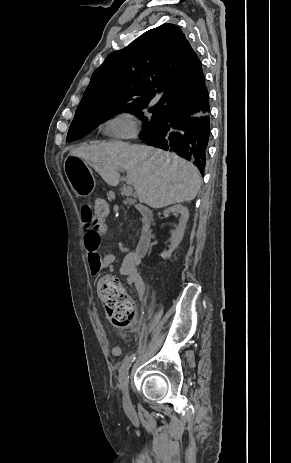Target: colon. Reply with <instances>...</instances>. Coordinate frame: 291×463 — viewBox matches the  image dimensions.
Masks as SVG:
<instances>
[{
	"label": "colon",
	"instance_id": "colon-1",
	"mask_svg": "<svg viewBox=\"0 0 291 463\" xmlns=\"http://www.w3.org/2000/svg\"><path fill=\"white\" fill-rule=\"evenodd\" d=\"M82 218L85 226L91 228L96 217H108L109 209L104 200L95 199L82 205ZM98 295L103 302L111 322L120 328L130 326L135 318V305L126 294L120 280L108 275L98 282Z\"/></svg>",
	"mask_w": 291,
	"mask_h": 463
}]
</instances>
